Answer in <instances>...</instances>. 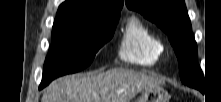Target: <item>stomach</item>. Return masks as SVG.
I'll return each instance as SVG.
<instances>
[{
	"instance_id": "1",
	"label": "stomach",
	"mask_w": 221,
	"mask_h": 102,
	"mask_svg": "<svg viewBox=\"0 0 221 102\" xmlns=\"http://www.w3.org/2000/svg\"><path fill=\"white\" fill-rule=\"evenodd\" d=\"M137 102H168V93L160 86L146 88Z\"/></svg>"
}]
</instances>
